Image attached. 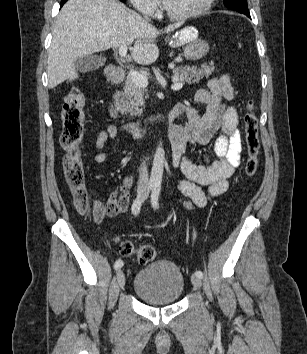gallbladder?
Masks as SVG:
<instances>
[{
    "instance_id": "bac80fb5",
    "label": "gallbladder",
    "mask_w": 307,
    "mask_h": 354,
    "mask_svg": "<svg viewBox=\"0 0 307 354\" xmlns=\"http://www.w3.org/2000/svg\"><path fill=\"white\" fill-rule=\"evenodd\" d=\"M106 59L97 55H88L76 59L74 66L80 72H90L105 64Z\"/></svg>"
}]
</instances>
